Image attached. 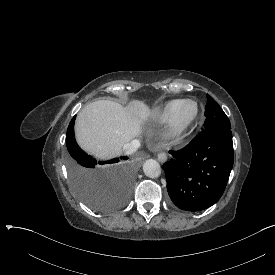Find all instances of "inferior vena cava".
<instances>
[{
	"label": "inferior vena cava",
	"mask_w": 275,
	"mask_h": 275,
	"mask_svg": "<svg viewBox=\"0 0 275 275\" xmlns=\"http://www.w3.org/2000/svg\"><path fill=\"white\" fill-rule=\"evenodd\" d=\"M139 146L140 142L138 140H133L132 142L123 145V151L125 154L130 155L136 152Z\"/></svg>",
	"instance_id": "obj_1"
}]
</instances>
